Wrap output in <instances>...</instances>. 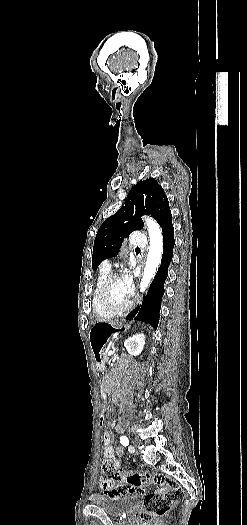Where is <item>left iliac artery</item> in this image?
Segmentation results:
<instances>
[{"label": "left iliac artery", "mask_w": 247, "mask_h": 525, "mask_svg": "<svg viewBox=\"0 0 247 525\" xmlns=\"http://www.w3.org/2000/svg\"><path fill=\"white\" fill-rule=\"evenodd\" d=\"M120 442L123 446H128L129 445V440L126 436H121L120 437Z\"/></svg>", "instance_id": "obj_1"}]
</instances>
